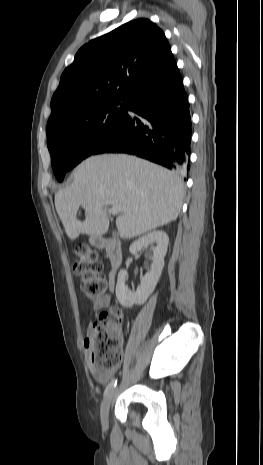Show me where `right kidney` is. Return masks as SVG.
<instances>
[{
  "label": "right kidney",
  "instance_id": "right-kidney-1",
  "mask_svg": "<svg viewBox=\"0 0 263 465\" xmlns=\"http://www.w3.org/2000/svg\"><path fill=\"white\" fill-rule=\"evenodd\" d=\"M153 243H156V246L152 247L154 254L151 269L141 277V284L136 291L129 290L125 285V279L128 275L126 270H121L118 274L116 297L123 307L130 308L134 304H144L158 283L164 267V257L167 253L169 243L167 234L159 230L150 232L134 241L129 250L131 254H137L143 248Z\"/></svg>",
  "mask_w": 263,
  "mask_h": 465
}]
</instances>
